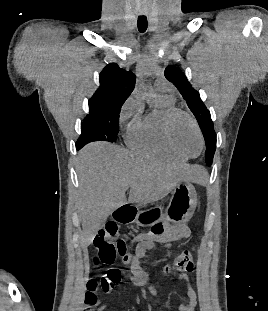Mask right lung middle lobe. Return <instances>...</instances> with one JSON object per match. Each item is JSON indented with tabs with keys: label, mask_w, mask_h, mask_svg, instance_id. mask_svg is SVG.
Here are the masks:
<instances>
[{
	"label": "right lung middle lobe",
	"mask_w": 268,
	"mask_h": 311,
	"mask_svg": "<svg viewBox=\"0 0 268 311\" xmlns=\"http://www.w3.org/2000/svg\"><path fill=\"white\" fill-rule=\"evenodd\" d=\"M121 106L89 100V114L81 124V136L76 142L83 147L93 141L116 142Z\"/></svg>",
	"instance_id": "dd1d6c3e"
}]
</instances>
